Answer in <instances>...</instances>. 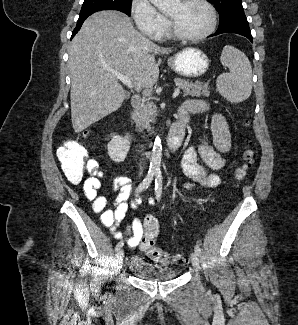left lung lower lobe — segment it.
Listing matches in <instances>:
<instances>
[{
    "label": "left lung lower lobe",
    "mask_w": 298,
    "mask_h": 325,
    "mask_svg": "<svg viewBox=\"0 0 298 325\" xmlns=\"http://www.w3.org/2000/svg\"><path fill=\"white\" fill-rule=\"evenodd\" d=\"M229 32L243 35L247 37L251 42H253L251 31L245 14L235 16L227 20L226 22L219 24V28L212 36Z\"/></svg>",
    "instance_id": "0a47b994"
}]
</instances>
